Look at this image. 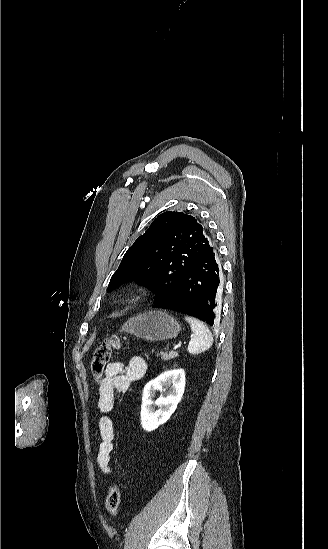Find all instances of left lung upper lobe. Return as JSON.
<instances>
[{
    "instance_id": "left-lung-upper-lobe-1",
    "label": "left lung upper lobe",
    "mask_w": 328,
    "mask_h": 549,
    "mask_svg": "<svg viewBox=\"0 0 328 549\" xmlns=\"http://www.w3.org/2000/svg\"><path fill=\"white\" fill-rule=\"evenodd\" d=\"M209 247L204 229L194 217L175 211L160 214L127 250L107 290L136 279L155 294V300L162 299Z\"/></svg>"
}]
</instances>
